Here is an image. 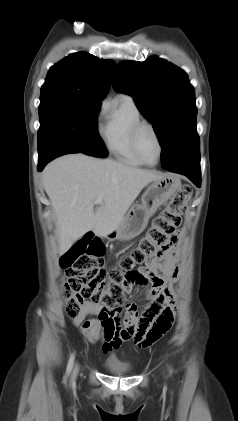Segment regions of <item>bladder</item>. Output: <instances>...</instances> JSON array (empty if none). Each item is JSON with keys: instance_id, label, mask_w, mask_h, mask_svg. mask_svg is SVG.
<instances>
[{"instance_id": "1", "label": "bladder", "mask_w": 238, "mask_h": 421, "mask_svg": "<svg viewBox=\"0 0 238 421\" xmlns=\"http://www.w3.org/2000/svg\"><path fill=\"white\" fill-rule=\"evenodd\" d=\"M105 367L110 373L116 375H125L131 372V366L113 360H107Z\"/></svg>"}]
</instances>
